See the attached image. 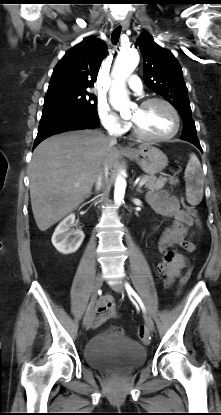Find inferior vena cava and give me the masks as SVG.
<instances>
[{
	"label": "inferior vena cava",
	"instance_id": "602c4592",
	"mask_svg": "<svg viewBox=\"0 0 221 415\" xmlns=\"http://www.w3.org/2000/svg\"><path fill=\"white\" fill-rule=\"evenodd\" d=\"M117 140L115 136H110L109 137V144L113 145L116 144ZM108 174H109V169H108V165L105 162L104 166L100 169L97 178H96V189L100 190L101 187L103 186V184L105 183V181L108 180Z\"/></svg>",
	"mask_w": 221,
	"mask_h": 415
}]
</instances>
